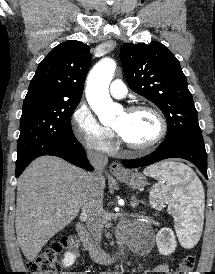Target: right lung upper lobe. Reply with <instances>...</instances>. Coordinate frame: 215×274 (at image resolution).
Here are the masks:
<instances>
[{"label": "right lung upper lobe", "instance_id": "obj_1", "mask_svg": "<svg viewBox=\"0 0 215 274\" xmlns=\"http://www.w3.org/2000/svg\"><path fill=\"white\" fill-rule=\"evenodd\" d=\"M90 59V48L86 44L75 40L59 44L39 64L24 103L80 102Z\"/></svg>", "mask_w": 215, "mask_h": 274}]
</instances>
